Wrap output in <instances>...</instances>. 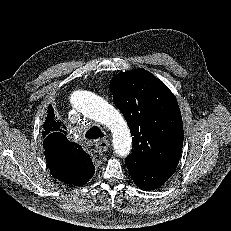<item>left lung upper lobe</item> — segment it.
Masks as SVG:
<instances>
[{
    "mask_svg": "<svg viewBox=\"0 0 231 231\" xmlns=\"http://www.w3.org/2000/svg\"><path fill=\"white\" fill-rule=\"evenodd\" d=\"M115 105L133 136L132 165L176 167L183 145V124L176 98L145 69L118 73L110 82Z\"/></svg>",
    "mask_w": 231,
    "mask_h": 231,
    "instance_id": "obj_1",
    "label": "left lung upper lobe"
}]
</instances>
